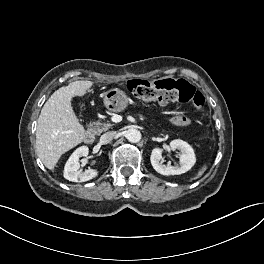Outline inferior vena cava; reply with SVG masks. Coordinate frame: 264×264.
I'll return each mask as SVG.
<instances>
[{
	"mask_svg": "<svg viewBox=\"0 0 264 264\" xmlns=\"http://www.w3.org/2000/svg\"><path fill=\"white\" fill-rule=\"evenodd\" d=\"M115 136H116V132L114 131L106 132L100 137V142L102 144H108L113 140Z\"/></svg>",
	"mask_w": 264,
	"mask_h": 264,
	"instance_id": "1",
	"label": "inferior vena cava"
}]
</instances>
